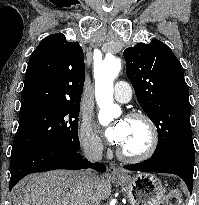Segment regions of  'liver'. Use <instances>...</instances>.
I'll return each mask as SVG.
<instances>
[{
  "label": "liver",
  "mask_w": 199,
  "mask_h": 205,
  "mask_svg": "<svg viewBox=\"0 0 199 205\" xmlns=\"http://www.w3.org/2000/svg\"><path fill=\"white\" fill-rule=\"evenodd\" d=\"M18 205H94L111 194V180L97 176L90 191L79 171L54 170L30 175Z\"/></svg>",
  "instance_id": "obj_1"
}]
</instances>
